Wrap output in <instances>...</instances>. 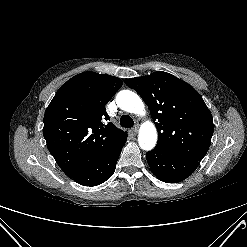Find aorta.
<instances>
[{
  "label": "aorta",
  "instance_id": "aorta-1",
  "mask_svg": "<svg viewBox=\"0 0 247 247\" xmlns=\"http://www.w3.org/2000/svg\"><path fill=\"white\" fill-rule=\"evenodd\" d=\"M118 107L126 112L142 115L145 106L142 99L133 91L122 90L116 96ZM157 142V130L152 122H145L139 131L138 143L141 149L149 151Z\"/></svg>",
  "mask_w": 247,
  "mask_h": 247
}]
</instances>
